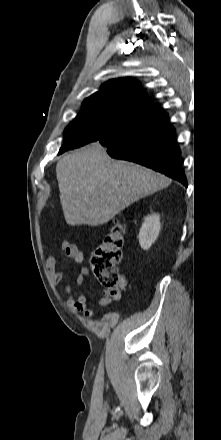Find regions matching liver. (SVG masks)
Returning a JSON list of instances; mask_svg holds the SVG:
<instances>
[{
	"label": "liver",
	"mask_w": 221,
	"mask_h": 440,
	"mask_svg": "<svg viewBox=\"0 0 221 440\" xmlns=\"http://www.w3.org/2000/svg\"><path fill=\"white\" fill-rule=\"evenodd\" d=\"M56 176L65 221L72 226L107 223L171 183L140 165L112 160L98 142L63 157L56 165Z\"/></svg>",
	"instance_id": "1"
}]
</instances>
